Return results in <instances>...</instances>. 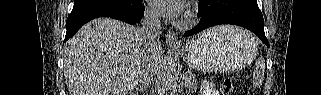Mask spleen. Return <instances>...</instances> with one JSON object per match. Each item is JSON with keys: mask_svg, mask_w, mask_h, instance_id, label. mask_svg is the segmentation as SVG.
Masks as SVG:
<instances>
[{"mask_svg": "<svg viewBox=\"0 0 321 95\" xmlns=\"http://www.w3.org/2000/svg\"><path fill=\"white\" fill-rule=\"evenodd\" d=\"M222 28L225 29L226 31H229V27L222 26ZM213 29H217V27ZM264 73H265V61L263 57H259L254 65L253 85L255 87H260L262 85V82L264 80Z\"/></svg>", "mask_w": 321, "mask_h": 95, "instance_id": "obj_1", "label": "spleen"}]
</instances>
